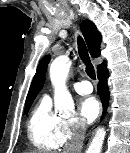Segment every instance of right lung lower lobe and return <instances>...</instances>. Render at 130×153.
Listing matches in <instances>:
<instances>
[{"instance_id": "obj_1", "label": "right lung lower lobe", "mask_w": 130, "mask_h": 153, "mask_svg": "<svg viewBox=\"0 0 130 153\" xmlns=\"http://www.w3.org/2000/svg\"><path fill=\"white\" fill-rule=\"evenodd\" d=\"M108 75H109V72H108L106 65L103 66L98 71V79H99L98 94L101 98L104 111L106 110L108 102H109V87L107 85Z\"/></svg>"}]
</instances>
